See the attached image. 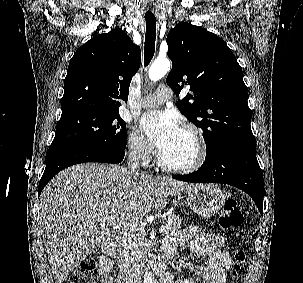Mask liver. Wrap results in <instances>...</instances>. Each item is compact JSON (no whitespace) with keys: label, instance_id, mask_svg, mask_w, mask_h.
Here are the masks:
<instances>
[{"label":"liver","instance_id":"obj_1","mask_svg":"<svg viewBox=\"0 0 303 283\" xmlns=\"http://www.w3.org/2000/svg\"><path fill=\"white\" fill-rule=\"evenodd\" d=\"M192 185L172 178L135 174L118 165L86 163L57 174L40 196L39 221L56 283L98 246L114 237L99 227L110 216L135 226L152 208ZM107 223V222H106ZM122 225V224H121Z\"/></svg>","mask_w":303,"mask_h":283}]
</instances>
